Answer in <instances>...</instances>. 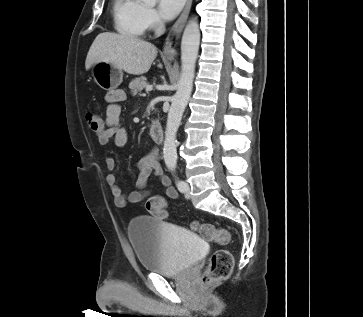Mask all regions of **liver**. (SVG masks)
I'll return each instance as SVG.
<instances>
[{
  "mask_svg": "<svg viewBox=\"0 0 363 317\" xmlns=\"http://www.w3.org/2000/svg\"><path fill=\"white\" fill-rule=\"evenodd\" d=\"M157 56V48L138 37L116 33H100L92 43L85 61L89 70L98 62L110 63L132 75L149 71Z\"/></svg>",
  "mask_w": 363,
  "mask_h": 317,
  "instance_id": "obj_1",
  "label": "liver"
}]
</instances>
